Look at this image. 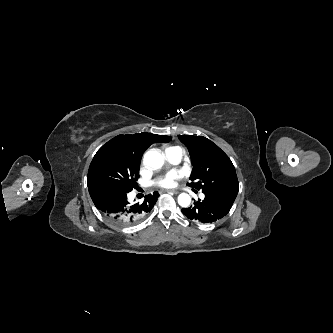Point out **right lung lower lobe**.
<instances>
[{"label":"right lung lower lobe","instance_id":"right-lung-lower-lobe-1","mask_svg":"<svg viewBox=\"0 0 333 333\" xmlns=\"http://www.w3.org/2000/svg\"><path fill=\"white\" fill-rule=\"evenodd\" d=\"M90 196L96 208L111 222L129 227L142 221L151 212L155 205L158 192H154L145 197L143 203L130 204L127 194L130 191L117 186L92 182L88 185Z\"/></svg>","mask_w":333,"mask_h":333}]
</instances>
